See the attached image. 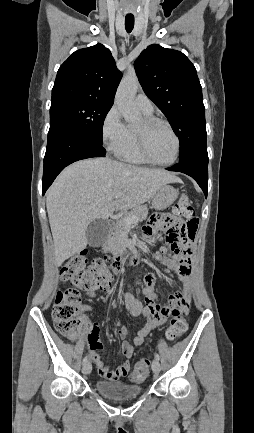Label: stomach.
<instances>
[{
  "instance_id": "stomach-1",
  "label": "stomach",
  "mask_w": 254,
  "mask_h": 433,
  "mask_svg": "<svg viewBox=\"0 0 254 433\" xmlns=\"http://www.w3.org/2000/svg\"><path fill=\"white\" fill-rule=\"evenodd\" d=\"M178 197L177 190L170 185H163L152 198V206L155 210H164Z\"/></svg>"
}]
</instances>
